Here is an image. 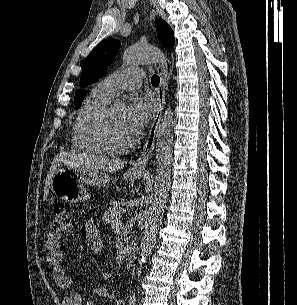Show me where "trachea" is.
Wrapping results in <instances>:
<instances>
[{
    "instance_id": "1",
    "label": "trachea",
    "mask_w": 297,
    "mask_h": 305,
    "mask_svg": "<svg viewBox=\"0 0 297 305\" xmlns=\"http://www.w3.org/2000/svg\"><path fill=\"white\" fill-rule=\"evenodd\" d=\"M151 83L153 86H158L160 83V77L158 75H153L151 78Z\"/></svg>"
}]
</instances>
